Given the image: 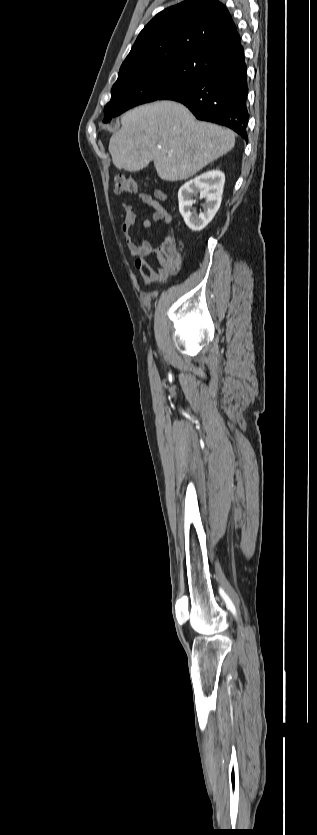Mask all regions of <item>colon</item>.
<instances>
[{
	"mask_svg": "<svg viewBox=\"0 0 317 835\" xmlns=\"http://www.w3.org/2000/svg\"><path fill=\"white\" fill-rule=\"evenodd\" d=\"M139 190L138 183L136 180L130 176H126L123 174L117 175L114 179V192L116 194H123V193H136ZM161 250L175 258L178 253L176 251L175 242L172 238H167L161 246Z\"/></svg>",
	"mask_w": 317,
	"mask_h": 835,
	"instance_id": "obj_1",
	"label": "colon"
}]
</instances>
